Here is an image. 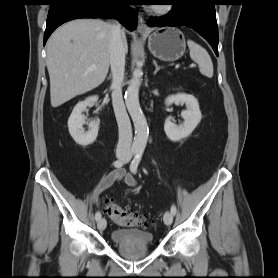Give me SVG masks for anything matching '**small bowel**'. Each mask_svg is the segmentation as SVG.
<instances>
[{
	"label": "small bowel",
	"mask_w": 278,
	"mask_h": 278,
	"mask_svg": "<svg viewBox=\"0 0 278 278\" xmlns=\"http://www.w3.org/2000/svg\"><path fill=\"white\" fill-rule=\"evenodd\" d=\"M116 182H121L131 188L137 186L136 178L131 173L126 172L124 168L119 167L109 172L96 184L92 192L93 202L98 204L100 194L109 189Z\"/></svg>",
	"instance_id": "obj_1"
}]
</instances>
